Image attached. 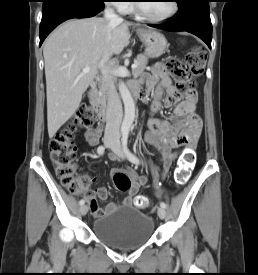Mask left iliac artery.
<instances>
[{"label":"left iliac artery","instance_id":"obj_1","mask_svg":"<svg viewBox=\"0 0 258 275\" xmlns=\"http://www.w3.org/2000/svg\"><path fill=\"white\" fill-rule=\"evenodd\" d=\"M128 134H129V132H124L123 136H122V146H123L124 152L126 153L130 162H132L134 164H139L140 163L139 159L134 154H132L128 149V146H127ZM160 206L162 208L167 207V205L164 202H161Z\"/></svg>","mask_w":258,"mask_h":275}]
</instances>
